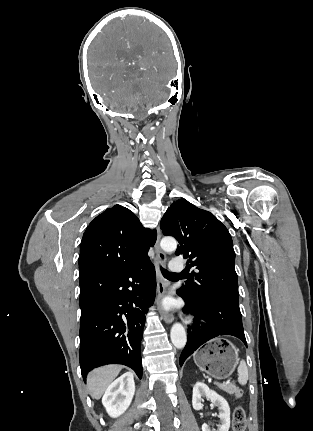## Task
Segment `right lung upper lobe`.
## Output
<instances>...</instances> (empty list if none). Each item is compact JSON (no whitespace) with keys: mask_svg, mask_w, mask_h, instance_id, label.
<instances>
[{"mask_svg":"<svg viewBox=\"0 0 313 431\" xmlns=\"http://www.w3.org/2000/svg\"><path fill=\"white\" fill-rule=\"evenodd\" d=\"M156 230L144 228L126 207L115 205L91 221L80 248L79 279L133 268L148 259Z\"/></svg>","mask_w":313,"mask_h":431,"instance_id":"1","label":"right lung upper lobe"}]
</instances>
